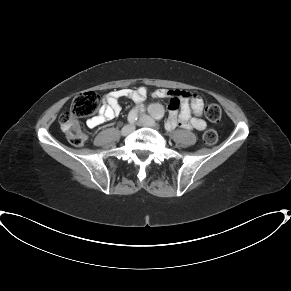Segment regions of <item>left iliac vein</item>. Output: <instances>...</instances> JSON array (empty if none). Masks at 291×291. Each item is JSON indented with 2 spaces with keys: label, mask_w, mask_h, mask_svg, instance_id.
I'll return each instance as SVG.
<instances>
[{
  "label": "left iliac vein",
  "mask_w": 291,
  "mask_h": 291,
  "mask_svg": "<svg viewBox=\"0 0 291 291\" xmlns=\"http://www.w3.org/2000/svg\"><path fill=\"white\" fill-rule=\"evenodd\" d=\"M138 124L144 127H157V123L150 116H142Z\"/></svg>",
  "instance_id": "obj_1"
}]
</instances>
